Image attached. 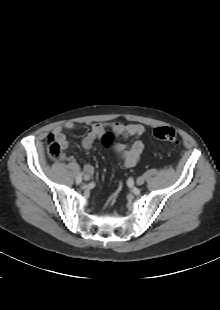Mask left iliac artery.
I'll use <instances>...</instances> for the list:
<instances>
[{"instance_id":"obj_1","label":"left iliac artery","mask_w":220,"mask_h":310,"mask_svg":"<svg viewBox=\"0 0 220 310\" xmlns=\"http://www.w3.org/2000/svg\"><path fill=\"white\" fill-rule=\"evenodd\" d=\"M134 185V179L132 177H130L128 180H127V186L128 187H133Z\"/></svg>"}]
</instances>
